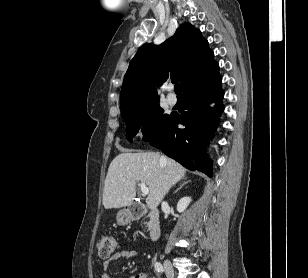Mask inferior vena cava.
Instances as JSON below:
<instances>
[{"label":"inferior vena cava","instance_id":"inferior-vena-cava-1","mask_svg":"<svg viewBox=\"0 0 308 278\" xmlns=\"http://www.w3.org/2000/svg\"><path fill=\"white\" fill-rule=\"evenodd\" d=\"M161 161H166V158L164 157V156H161V159H160Z\"/></svg>","mask_w":308,"mask_h":278}]
</instances>
